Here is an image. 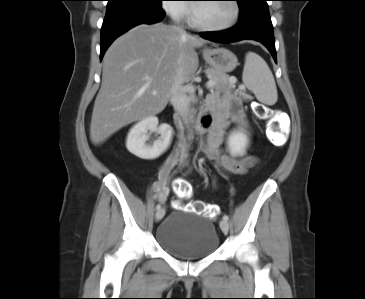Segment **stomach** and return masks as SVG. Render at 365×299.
<instances>
[{
  "label": "stomach",
  "instance_id": "obj_1",
  "mask_svg": "<svg viewBox=\"0 0 365 299\" xmlns=\"http://www.w3.org/2000/svg\"><path fill=\"white\" fill-rule=\"evenodd\" d=\"M203 57L211 68L222 73L231 72L238 65L237 57L225 48L205 49Z\"/></svg>",
  "mask_w": 365,
  "mask_h": 299
}]
</instances>
